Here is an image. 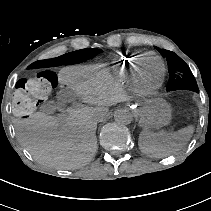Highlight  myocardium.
<instances>
[{
  "instance_id": "myocardium-1",
  "label": "myocardium",
  "mask_w": 211,
  "mask_h": 211,
  "mask_svg": "<svg viewBox=\"0 0 211 211\" xmlns=\"http://www.w3.org/2000/svg\"><path fill=\"white\" fill-rule=\"evenodd\" d=\"M155 60L159 64L161 75L157 80L152 82V81H150L149 78H145L143 76V74L140 73L139 76L137 77V79L135 80V88H136V91L141 95H152L161 86L163 72H164V66H163L162 62L160 61V59L156 58ZM144 66L145 65H143V67Z\"/></svg>"
}]
</instances>
